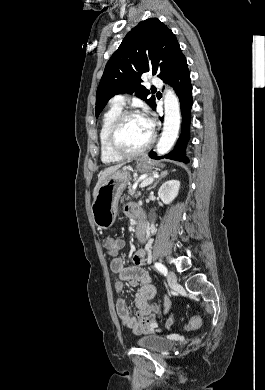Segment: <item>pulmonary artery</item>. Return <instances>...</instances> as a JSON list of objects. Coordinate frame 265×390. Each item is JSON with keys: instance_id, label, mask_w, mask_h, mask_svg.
I'll return each instance as SVG.
<instances>
[{"instance_id": "pulmonary-artery-1", "label": "pulmonary artery", "mask_w": 265, "mask_h": 390, "mask_svg": "<svg viewBox=\"0 0 265 390\" xmlns=\"http://www.w3.org/2000/svg\"><path fill=\"white\" fill-rule=\"evenodd\" d=\"M151 83L156 87H162V81L155 75L151 76ZM125 96L119 95L112 100V104L123 106L125 104Z\"/></svg>"}]
</instances>
